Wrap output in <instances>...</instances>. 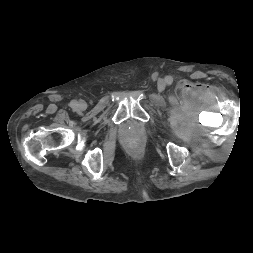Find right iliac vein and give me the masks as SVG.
Returning <instances> with one entry per match:
<instances>
[{"instance_id":"right-iliac-vein-1","label":"right iliac vein","mask_w":253,"mask_h":253,"mask_svg":"<svg viewBox=\"0 0 253 253\" xmlns=\"http://www.w3.org/2000/svg\"><path fill=\"white\" fill-rule=\"evenodd\" d=\"M78 107L81 110H85L86 109V103L84 101H80L79 104H78Z\"/></svg>"}]
</instances>
